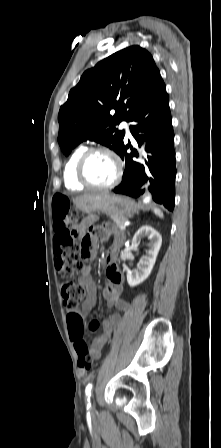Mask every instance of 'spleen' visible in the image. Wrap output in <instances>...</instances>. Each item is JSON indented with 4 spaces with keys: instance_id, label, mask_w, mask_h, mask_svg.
Listing matches in <instances>:
<instances>
[{
    "instance_id": "1",
    "label": "spleen",
    "mask_w": 221,
    "mask_h": 448,
    "mask_svg": "<svg viewBox=\"0 0 221 448\" xmlns=\"http://www.w3.org/2000/svg\"><path fill=\"white\" fill-rule=\"evenodd\" d=\"M153 212L160 218H163V212L159 208H153Z\"/></svg>"
}]
</instances>
